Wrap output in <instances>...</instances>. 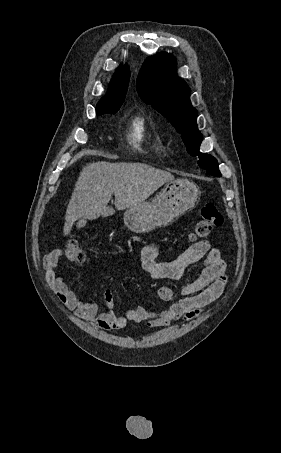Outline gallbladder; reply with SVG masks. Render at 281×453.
<instances>
[{
    "label": "gallbladder",
    "mask_w": 281,
    "mask_h": 453,
    "mask_svg": "<svg viewBox=\"0 0 281 453\" xmlns=\"http://www.w3.org/2000/svg\"><path fill=\"white\" fill-rule=\"evenodd\" d=\"M73 225H74L75 228L78 229V228H80V227H81V228H84V227L86 226V223H85L84 221H81V222H80V221L77 220V221L74 222Z\"/></svg>",
    "instance_id": "obj_1"
}]
</instances>
